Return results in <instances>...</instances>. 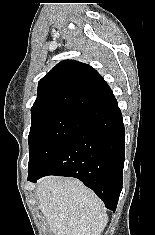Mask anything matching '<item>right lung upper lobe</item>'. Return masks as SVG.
Masks as SVG:
<instances>
[{
    "instance_id": "right-lung-upper-lobe-1",
    "label": "right lung upper lobe",
    "mask_w": 155,
    "mask_h": 235,
    "mask_svg": "<svg viewBox=\"0 0 155 235\" xmlns=\"http://www.w3.org/2000/svg\"><path fill=\"white\" fill-rule=\"evenodd\" d=\"M103 82L104 79L90 65L74 60L61 61L39 81L38 96L31 114L57 110L89 123L98 120L87 91Z\"/></svg>"
}]
</instances>
